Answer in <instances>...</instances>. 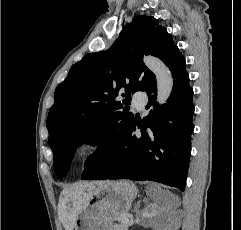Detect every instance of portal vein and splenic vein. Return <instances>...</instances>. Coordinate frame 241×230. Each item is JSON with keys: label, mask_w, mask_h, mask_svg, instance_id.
Returning a JSON list of instances; mask_svg holds the SVG:
<instances>
[{"label": "portal vein and splenic vein", "mask_w": 241, "mask_h": 230, "mask_svg": "<svg viewBox=\"0 0 241 230\" xmlns=\"http://www.w3.org/2000/svg\"><path fill=\"white\" fill-rule=\"evenodd\" d=\"M122 223L123 224H128L129 223V219L128 218H122Z\"/></svg>", "instance_id": "portal-vein-and-splenic-vein-1"}]
</instances>
